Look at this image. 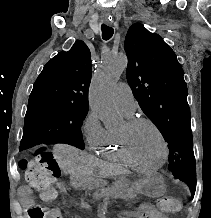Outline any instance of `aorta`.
I'll return each mask as SVG.
<instances>
[{"label": "aorta", "mask_w": 211, "mask_h": 218, "mask_svg": "<svg viewBox=\"0 0 211 218\" xmlns=\"http://www.w3.org/2000/svg\"><path fill=\"white\" fill-rule=\"evenodd\" d=\"M127 62L124 54L107 56L92 78L89 90L90 107L108 129H118L122 123L113 102V89L126 69Z\"/></svg>", "instance_id": "obj_1"}]
</instances>
